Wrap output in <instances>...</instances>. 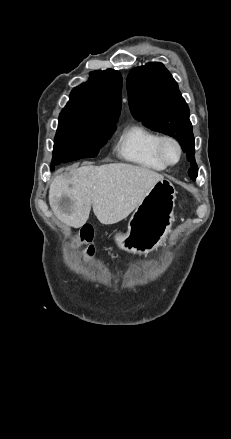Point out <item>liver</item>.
Masks as SVG:
<instances>
[{
    "mask_svg": "<svg viewBox=\"0 0 231 439\" xmlns=\"http://www.w3.org/2000/svg\"><path fill=\"white\" fill-rule=\"evenodd\" d=\"M163 179L153 170L124 163L69 168L52 181L49 204L67 226H83L91 208L100 223L111 225L127 218Z\"/></svg>",
    "mask_w": 231,
    "mask_h": 439,
    "instance_id": "1",
    "label": "liver"
}]
</instances>
